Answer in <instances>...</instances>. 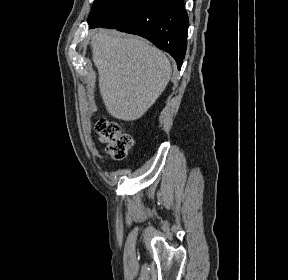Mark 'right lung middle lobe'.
Listing matches in <instances>:
<instances>
[{
  "instance_id": "1",
  "label": "right lung middle lobe",
  "mask_w": 288,
  "mask_h": 280,
  "mask_svg": "<svg viewBox=\"0 0 288 280\" xmlns=\"http://www.w3.org/2000/svg\"><path fill=\"white\" fill-rule=\"evenodd\" d=\"M118 0H95L88 21L93 20L104 8Z\"/></svg>"
}]
</instances>
